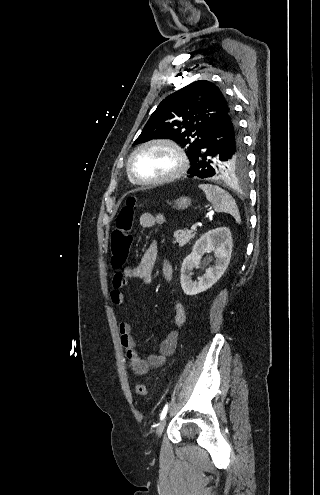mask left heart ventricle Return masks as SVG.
Masks as SVG:
<instances>
[{"label":"left heart ventricle","instance_id":"b2bd125f","mask_svg":"<svg viewBox=\"0 0 320 495\" xmlns=\"http://www.w3.org/2000/svg\"><path fill=\"white\" fill-rule=\"evenodd\" d=\"M177 164V157L170 148L152 146L136 154L132 169L141 179H156L172 173Z\"/></svg>","mask_w":320,"mask_h":495}]
</instances>
